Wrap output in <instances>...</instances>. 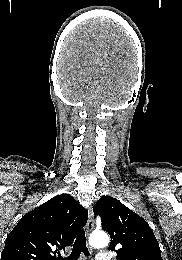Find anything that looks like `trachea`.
Here are the masks:
<instances>
[{
	"label": "trachea",
	"instance_id": "3493384b",
	"mask_svg": "<svg viewBox=\"0 0 182 260\" xmlns=\"http://www.w3.org/2000/svg\"><path fill=\"white\" fill-rule=\"evenodd\" d=\"M84 253L86 256H89V251L86 246V237H85V231L82 230L73 245V249L71 254L69 255L68 258L63 259L62 257L59 258V260H77L80 257L81 253Z\"/></svg>",
	"mask_w": 182,
	"mask_h": 260
}]
</instances>
